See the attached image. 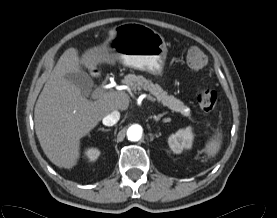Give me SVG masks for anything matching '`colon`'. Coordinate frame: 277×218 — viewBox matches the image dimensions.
<instances>
[{
    "mask_svg": "<svg viewBox=\"0 0 277 218\" xmlns=\"http://www.w3.org/2000/svg\"><path fill=\"white\" fill-rule=\"evenodd\" d=\"M207 64V56L198 47H191L186 54V65L192 71L202 70ZM197 100L199 106L205 112H211L216 108L218 95L211 88H204L198 92Z\"/></svg>",
    "mask_w": 277,
    "mask_h": 218,
    "instance_id": "colon-1",
    "label": "colon"
}]
</instances>
